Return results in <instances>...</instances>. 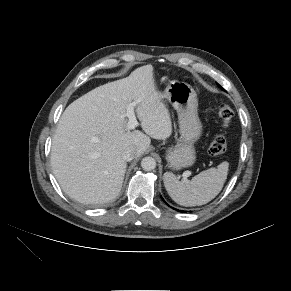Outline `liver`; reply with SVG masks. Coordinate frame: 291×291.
<instances>
[{"label": "liver", "mask_w": 291, "mask_h": 291, "mask_svg": "<svg viewBox=\"0 0 291 291\" xmlns=\"http://www.w3.org/2000/svg\"><path fill=\"white\" fill-rule=\"evenodd\" d=\"M153 66L101 85L73 101L63 112L51 148L53 173L63 191L80 203H105L121 191L127 163L122 154L140 157L151 139L172 133L170 113L155 88ZM145 133L128 130L127 107Z\"/></svg>", "instance_id": "6515ba94"}]
</instances>
